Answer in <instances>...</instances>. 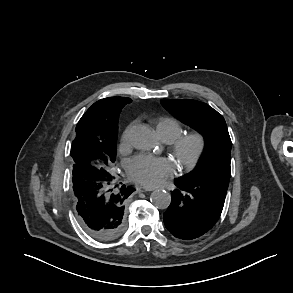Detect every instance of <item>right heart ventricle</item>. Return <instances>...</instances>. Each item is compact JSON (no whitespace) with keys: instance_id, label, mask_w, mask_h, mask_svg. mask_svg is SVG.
<instances>
[{"instance_id":"e07e8e85","label":"right heart ventricle","mask_w":293,"mask_h":293,"mask_svg":"<svg viewBox=\"0 0 293 293\" xmlns=\"http://www.w3.org/2000/svg\"><path fill=\"white\" fill-rule=\"evenodd\" d=\"M156 129L160 138L171 143L184 133V129L179 121L170 117H162L157 120Z\"/></svg>"}]
</instances>
